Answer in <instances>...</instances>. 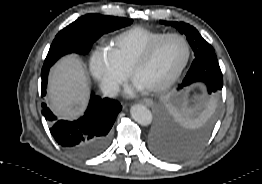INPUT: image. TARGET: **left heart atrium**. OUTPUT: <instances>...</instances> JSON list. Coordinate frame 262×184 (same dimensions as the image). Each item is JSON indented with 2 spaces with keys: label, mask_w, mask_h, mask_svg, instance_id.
Masks as SVG:
<instances>
[{
  "label": "left heart atrium",
  "mask_w": 262,
  "mask_h": 184,
  "mask_svg": "<svg viewBox=\"0 0 262 184\" xmlns=\"http://www.w3.org/2000/svg\"><path fill=\"white\" fill-rule=\"evenodd\" d=\"M135 87H136L137 89H142V88H143V86H141L137 81H136V83H135Z\"/></svg>",
  "instance_id": "39dd6f15"
}]
</instances>
